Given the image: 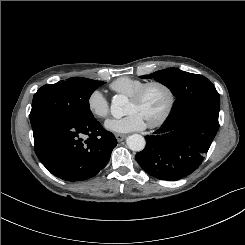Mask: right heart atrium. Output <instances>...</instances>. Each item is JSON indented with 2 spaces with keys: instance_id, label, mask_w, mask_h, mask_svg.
<instances>
[{
  "instance_id": "1",
  "label": "right heart atrium",
  "mask_w": 245,
  "mask_h": 245,
  "mask_svg": "<svg viewBox=\"0 0 245 245\" xmlns=\"http://www.w3.org/2000/svg\"><path fill=\"white\" fill-rule=\"evenodd\" d=\"M87 107L90 113L99 119H105L109 115V102L102 91L93 90L87 98Z\"/></svg>"
}]
</instances>
